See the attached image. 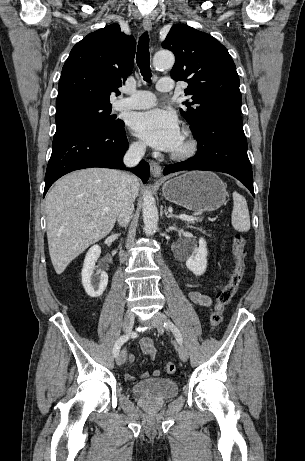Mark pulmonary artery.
Instances as JSON below:
<instances>
[{"instance_id": "obj_1", "label": "pulmonary artery", "mask_w": 305, "mask_h": 461, "mask_svg": "<svg viewBox=\"0 0 305 461\" xmlns=\"http://www.w3.org/2000/svg\"><path fill=\"white\" fill-rule=\"evenodd\" d=\"M156 89L160 92H170L173 89L171 78H161L156 84ZM156 97L149 91H134L129 97L120 98L114 103L116 110H139L154 106Z\"/></svg>"}]
</instances>
